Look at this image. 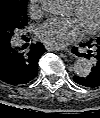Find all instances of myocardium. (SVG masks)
Instances as JSON below:
<instances>
[{
  "mask_svg": "<svg viewBox=\"0 0 100 118\" xmlns=\"http://www.w3.org/2000/svg\"><path fill=\"white\" fill-rule=\"evenodd\" d=\"M88 1L89 0H77L73 3L75 16H79L81 14L82 10L84 9ZM96 2L98 5V17H97L96 22L93 25H90L84 29L86 34H94L100 28V0H96Z\"/></svg>",
  "mask_w": 100,
  "mask_h": 118,
  "instance_id": "obj_1",
  "label": "myocardium"
}]
</instances>
